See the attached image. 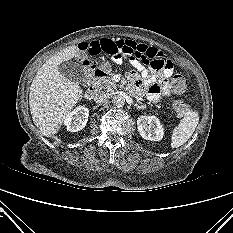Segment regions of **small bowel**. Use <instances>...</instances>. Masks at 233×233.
<instances>
[{
	"label": "small bowel",
	"instance_id": "c3829d8e",
	"mask_svg": "<svg viewBox=\"0 0 233 233\" xmlns=\"http://www.w3.org/2000/svg\"><path fill=\"white\" fill-rule=\"evenodd\" d=\"M78 49L84 62L101 53L109 54L116 64L128 60L140 72V74L136 71L129 72L131 89L139 95H146L154 103L171 93L168 78L173 74V64L154 47L132 40L102 38L82 42Z\"/></svg>",
	"mask_w": 233,
	"mask_h": 233
}]
</instances>
